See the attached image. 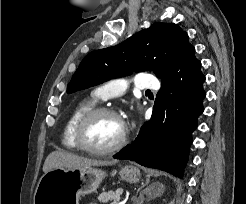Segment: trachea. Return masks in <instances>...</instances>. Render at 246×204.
<instances>
[{
    "instance_id": "obj_1",
    "label": "trachea",
    "mask_w": 246,
    "mask_h": 204,
    "mask_svg": "<svg viewBox=\"0 0 246 204\" xmlns=\"http://www.w3.org/2000/svg\"><path fill=\"white\" fill-rule=\"evenodd\" d=\"M146 93H151V91L150 90H147Z\"/></svg>"
}]
</instances>
